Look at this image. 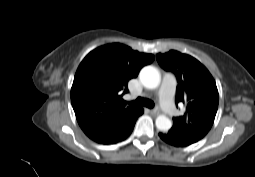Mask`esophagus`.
<instances>
[{
  "instance_id": "obj_1",
  "label": "esophagus",
  "mask_w": 255,
  "mask_h": 177,
  "mask_svg": "<svg viewBox=\"0 0 255 177\" xmlns=\"http://www.w3.org/2000/svg\"><path fill=\"white\" fill-rule=\"evenodd\" d=\"M150 113H151L152 115H154V116H158L161 112H160V110H158V109H153V110L150 111Z\"/></svg>"
}]
</instances>
